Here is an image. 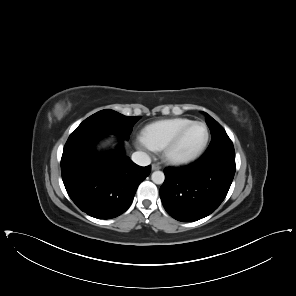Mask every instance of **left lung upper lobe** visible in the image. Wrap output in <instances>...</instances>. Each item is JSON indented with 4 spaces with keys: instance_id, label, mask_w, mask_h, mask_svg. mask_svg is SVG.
I'll list each match as a JSON object with an SVG mask.
<instances>
[{
    "instance_id": "left-lung-upper-lobe-1",
    "label": "left lung upper lobe",
    "mask_w": 296,
    "mask_h": 296,
    "mask_svg": "<svg viewBox=\"0 0 296 296\" xmlns=\"http://www.w3.org/2000/svg\"><path fill=\"white\" fill-rule=\"evenodd\" d=\"M206 123L211 131V143L206 152L200 158L203 162H209L222 155H235L234 146L224 128L205 113Z\"/></svg>"
}]
</instances>
